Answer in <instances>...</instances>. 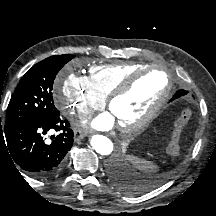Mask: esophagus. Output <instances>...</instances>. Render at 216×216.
Returning a JSON list of instances; mask_svg holds the SVG:
<instances>
[{"label": "esophagus", "mask_w": 216, "mask_h": 216, "mask_svg": "<svg viewBox=\"0 0 216 216\" xmlns=\"http://www.w3.org/2000/svg\"><path fill=\"white\" fill-rule=\"evenodd\" d=\"M87 132L83 131V130H75L74 131V137L75 139H83L86 136Z\"/></svg>", "instance_id": "1"}]
</instances>
